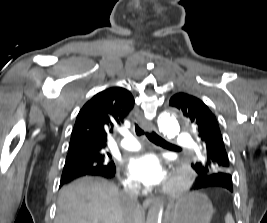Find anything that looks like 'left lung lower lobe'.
<instances>
[{"label": "left lung lower lobe", "mask_w": 267, "mask_h": 223, "mask_svg": "<svg viewBox=\"0 0 267 223\" xmlns=\"http://www.w3.org/2000/svg\"><path fill=\"white\" fill-rule=\"evenodd\" d=\"M193 178H199L192 187L197 192H212L215 195L232 194L235 182L231 173H193Z\"/></svg>", "instance_id": "left-lung-lower-lobe-1"}]
</instances>
